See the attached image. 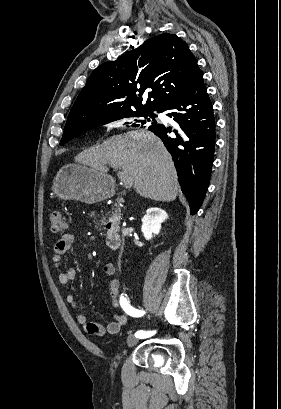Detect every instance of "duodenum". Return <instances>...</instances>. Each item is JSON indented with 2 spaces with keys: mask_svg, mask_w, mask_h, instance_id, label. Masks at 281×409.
I'll use <instances>...</instances> for the list:
<instances>
[{
  "mask_svg": "<svg viewBox=\"0 0 281 409\" xmlns=\"http://www.w3.org/2000/svg\"><path fill=\"white\" fill-rule=\"evenodd\" d=\"M117 192L119 194L115 196V201L117 203H122L124 201V196L122 195V193L124 192V189L122 187H119L117 189ZM107 241H108V246L111 249L115 250L121 247V236L116 231H112V230L107 231Z\"/></svg>",
  "mask_w": 281,
  "mask_h": 409,
  "instance_id": "1",
  "label": "duodenum"
}]
</instances>
